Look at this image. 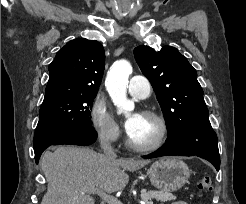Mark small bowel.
Segmentation results:
<instances>
[{"label":"small bowel","instance_id":"c3829d8e","mask_svg":"<svg viewBox=\"0 0 246 204\" xmlns=\"http://www.w3.org/2000/svg\"><path fill=\"white\" fill-rule=\"evenodd\" d=\"M172 204H187V203L184 202V201H177V202H174V203H172Z\"/></svg>","mask_w":246,"mask_h":204}]
</instances>
